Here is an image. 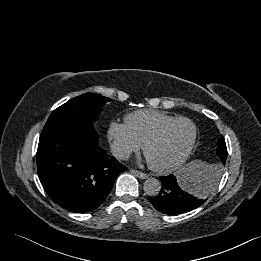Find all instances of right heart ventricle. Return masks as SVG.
<instances>
[{"mask_svg": "<svg viewBox=\"0 0 261 261\" xmlns=\"http://www.w3.org/2000/svg\"><path fill=\"white\" fill-rule=\"evenodd\" d=\"M176 117L163 111L140 109L125 116V124L135 139L143 145L161 125Z\"/></svg>", "mask_w": 261, "mask_h": 261, "instance_id": "e07e8e85", "label": "right heart ventricle"}]
</instances>
